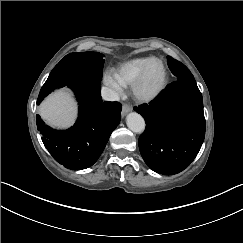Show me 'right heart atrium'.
Returning a JSON list of instances; mask_svg holds the SVG:
<instances>
[{
	"label": "right heart atrium",
	"instance_id": "d8ad5b80",
	"mask_svg": "<svg viewBox=\"0 0 243 243\" xmlns=\"http://www.w3.org/2000/svg\"><path fill=\"white\" fill-rule=\"evenodd\" d=\"M101 83L107 89L108 98L119 101L125 97V90L119 81L114 68L108 67L101 74Z\"/></svg>",
	"mask_w": 243,
	"mask_h": 243
}]
</instances>
